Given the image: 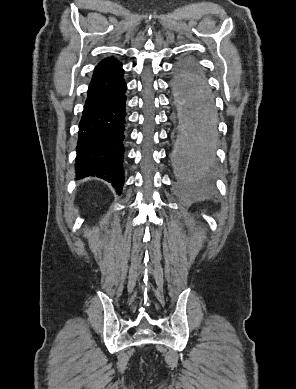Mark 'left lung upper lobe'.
I'll use <instances>...</instances> for the list:
<instances>
[{"mask_svg":"<svg viewBox=\"0 0 296 389\" xmlns=\"http://www.w3.org/2000/svg\"><path fill=\"white\" fill-rule=\"evenodd\" d=\"M177 70L178 76L175 81V85L181 90L183 102L185 104L183 115L191 125L193 122L192 115L187 109V100L184 97L182 91L193 87L198 81H202L205 85L204 77L199 71L198 66L192 60H184L179 64ZM206 127H208V125H206ZM187 133L189 132L187 131Z\"/></svg>","mask_w":296,"mask_h":389,"instance_id":"obj_1","label":"left lung upper lobe"}]
</instances>
